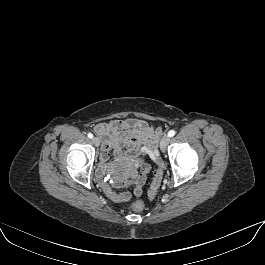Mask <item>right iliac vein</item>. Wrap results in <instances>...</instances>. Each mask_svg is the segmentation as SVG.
<instances>
[{
  "mask_svg": "<svg viewBox=\"0 0 265 265\" xmlns=\"http://www.w3.org/2000/svg\"><path fill=\"white\" fill-rule=\"evenodd\" d=\"M92 142L94 143L95 146H99V144H100V140L98 137H93Z\"/></svg>",
  "mask_w": 265,
  "mask_h": 265,
  "instance_id": "obj_1",
  "label": "right iliac vein"
}]
</instances>
